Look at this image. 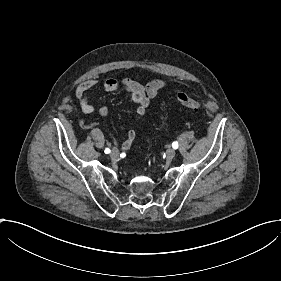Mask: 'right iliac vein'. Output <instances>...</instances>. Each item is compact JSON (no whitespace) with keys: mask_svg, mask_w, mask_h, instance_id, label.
<instances>
[{"mask_svg":"<svg viewBox=\"0 0 281 281\" xmlns=\"http://www.w3.org/2000/svg\"><path fill=\"white\" fill-rule=\"evenodd\" d=\"M110 155H111V157L116 158V157H118L119 152H118V150L113 149V150H111Z\"/></svg>","mask_w":281,"mask_h":281,"instance_id":"right-iliac-vein-1","label":"right iliac vein"}]
</instances>
